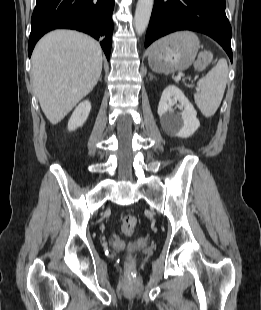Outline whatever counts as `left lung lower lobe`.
Wrapping results in <instances>:
<instances>
[{
    "label": "left lung lower lobe",
    "instance_id": "0a47b994",
    "mask_svg": "<svg viewBox=\"0 0 261 310\" xmlns=\"http://www.w3.org/2000/svg\"><path fill=\"white\" fill-rule=\"evenodd\" d=\"M225 7V0H155L145 47L174 31H198L216 40L232 62V30Z\"/></svg>",
    "mask_w": 261,
    "mask_h": 310
}]
</instances>
